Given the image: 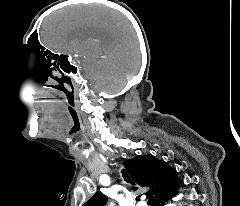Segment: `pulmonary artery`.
<instances>
[{"label": "pulmonary artery", "mask_w": 240, "mask_h": 206, "mask_svg": "<svg viewBox=\"0 0 240 206\" xmlns=\"http://www.w3.org/2000/svg\"><path fill=\"white\" fill-rule=\"evenodd\" d=\"M137 206H145L144 204H138Z\"/></svg>", "instance_id": "1"}]
</instances>
